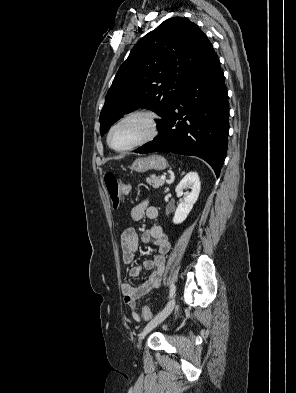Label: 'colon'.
Masks as SVG:
<instances>
[{
	"label": "colon",
	"mask_w": 296,
	"mask_h": 393,
	"mask_svg": "<svg viewBox=\"0 0 296 393\" xmlns=\"http://www.w3.org/2000/svg\"><path fill=\"white\" fill-rule=\"evenodd\" d=\"M103 181L113 207L115 209L118 208L120 204V197L122 195H127L130 192V186L119 183L112 173L105 174ZM142 317L146 321H150L152 319L153 315L148 306H144L142 308Z\"/></svg>",
	"instance_id": "colon-1"
}]
</instances>
